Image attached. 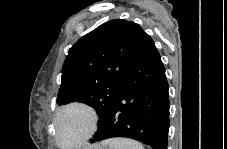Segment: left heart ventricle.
Returning <instances> with one entry per match:
<instances>
[{"label": "left heart ventricle", "instance_id": "b2bd125f", "mask_svg": "<svg viewBox=\"0 0 227 149\" xmlns=\"http://www.w3.org/2000/svg\"><path fill=\"white\" fill-rule=\"evenodd\" d=\"M89 121L85 112L72 110L60 122L59 135L62 143L76 142L88 129Z\"/></svg>", "mask_w": 227, "mask_h": 149}]
</instances>
